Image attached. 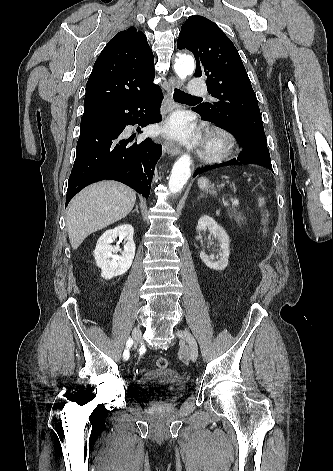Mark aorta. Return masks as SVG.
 Returning a JSON list of instances; mask_svg holds the SVG:
<instances>
[{
    "label": "aorta",
    "instance_id": "obj_1",
    "mask_svg": "<svg viewBox=\"0 0 333 471\" xmlns=\"http://www.w3.org/2000/svg\"><path fill=\"white\" fill-rule=\"evenodd\" d=\"M195 69L194 59L191 56L181 55L175 60L174 70L178 77L185 80L187 76L193 74ZM192 160L190 155H182L173 165L170 179L169 190L171 193H178L187 183L191 175L190 166Z\"/></svg>",
    "mask_w": 333,
    "mask_h": 471
}]
</instances>
